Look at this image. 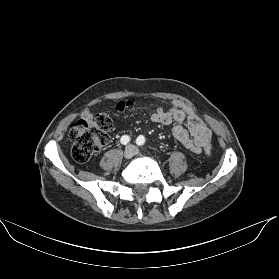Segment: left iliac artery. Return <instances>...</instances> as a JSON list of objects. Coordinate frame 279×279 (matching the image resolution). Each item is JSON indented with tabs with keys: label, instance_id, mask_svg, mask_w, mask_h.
<instances>
[{
	"label": "left iliac artery",
	"instance_id": "44dca946",
	"mask_svg": "<svg viewBox=\"0 0 279 279\" xmlns=\"http://www.w3.org/2000/svg\"><path fill=\"white\" fill-rule=\"evenodd\" d=\"M136 143L138 145H144L145 144V137L140 135L137 139H136Z\"/></svg>",
	"mask_w": 279,
	"mask_h": 279
}]
</instances>
